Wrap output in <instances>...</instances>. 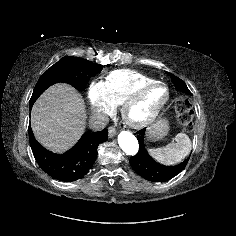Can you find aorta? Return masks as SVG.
I'll use <instances>...</instances> for the list:
<instances>
[{"instance_id":"aorta-1","label":"aorta","mask_w":236,"mask_h":236,"mask_svg":"<svg viewBox=\"0 0 236 236\" xmlns=\"http://www.w3.org/2000/svg\"><path fill=\"white\" fill-rule=\"evenodd\" d=\"M118 143L127 155H135L138 152L139 144L136 137L129 131H122L118 135Z\"/></svg>"}]
</instances>
